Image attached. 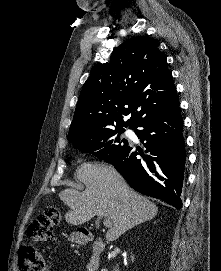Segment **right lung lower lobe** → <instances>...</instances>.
<instances>
[{
    "mask_svg": "<svg viewBox=\"0 0 221 271\" xmlns=\"http://www.w3.org/2000/svg\"><path fill=\"white\" fill-rule=\"evenodd\" d=\"M179 102L143 118L134 127L148 155L130 146L112 164L136 191L181 209L185 166L183 118ZM140 154L142 158H137Z\"/></svg>",
    "mask_w": 221,
    "mask_h": 271,
    "instance_id": "right-lung-lower-lobe-1",
    "label": "right lung lower lobe"
}]
</instances>
